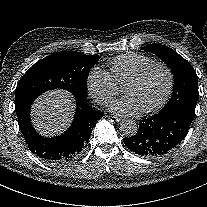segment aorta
Segmentation results:
<instances>
[{"mask_svg":"<svg viewBox=\"0 0 207 207\" xmlns=\"http://www.w3.org/2000/svg\"><path fill=\"white\" fill-rule=\"evenodd\" d=\"M120 131L126 137L134 136L138 131V126L134 120L127 119L121 122Z\"/></svg>","mask_w":207,"mask_h":207,"instance_id":"762f6f07","label":"aorta"}]
</instances>
